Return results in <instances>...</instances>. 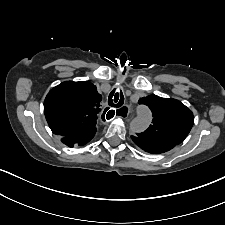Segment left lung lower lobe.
Instances as JSON below:
<instances>
[{
	"mask_svg": "<svg viewBox=\"0 0 225 225\" xmlns=\"http://www.w3.org/2000/svg\"><path fill=\"white\" fill-rule=\"evenodd\" d=\"M131 138L138 147H140L142 150L151 154L164 153L171 150L172 148L176 146L172 144L155 143V142L147 141L137 136H131Z\"/></svg>",
	"mask_w": 225,
	"mask_h": 225,
	"instance_id": "left-lung-lower-lobe-1",
	"label": "left lung lower lobe"
}]
</instances>
